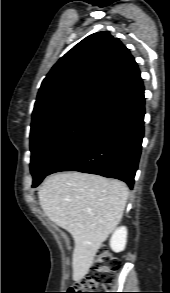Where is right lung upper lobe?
Returning <instances> with one entry per match:
<instances>
[{
	"mask_svg": "<svg viewBox=\"0 0 170 293\" xmlns=\"http://www.w3.org/2000/svg\"><path fill=\"white\" fill-rule=\"evenodd\" d=\"M129 50L108 31L80 41L50 70L39 89L32 124L82 103L102 106L142 85Z\"/></svg>",
	"mask_w": 170,
	"mask_h": 293,
	"instance_id": "1",
	"label": "right lung upper lobe"
}]
</instances>
